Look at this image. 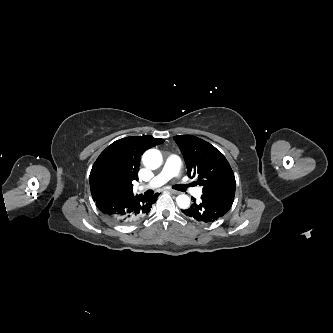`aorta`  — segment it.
<instances>
[{"mask_svg":"<svg viewBox=\"0 0 333 333\" xmlns=\"http://www.w3.org/2000/svg\"><path fill=\"white\" fill-rule=\"evenodd\" d=\"M143 164L150 169H157L161 166L162 163V154L156 149H150L143 154L142 157ZM177 205L186 209L190 205V198L187 195H179L176 198Z\"/></svg>","mask_w":333,"mask_h":333,"instance_id":"1","label":"aorta"}]
</instances>
